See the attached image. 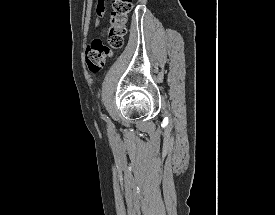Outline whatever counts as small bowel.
<instances>
[{"instance_id": "c3829d8e", "label": "small bowel", "mask_w": 275, "mask_h": 215, "mask_svg": "<svg viewBox=\"0 0 275 215\" xmlns=\"http://www.w3.org/2000/svg\"><path fill=\"white\" fill-rule=\"evenodd\" d=\"M106 10V1L105 0H97L96 8L94 11L95 18V26L100 27L99 19L103 17Z\"/></svg>"}]
</instances>
